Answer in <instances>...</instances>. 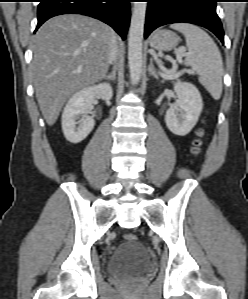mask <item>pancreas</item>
<instances>
[{
	"label": "pancreas",
	"instance_id": "pancreas-1",
	"mask_svg": "<svg viewBox=\"0 0 248 299\" xmlns=\"http://www.w3.org/2000/svg\"><path fill=\"white\" fill-rule=\"evenodd\" d=\"M167 79H171V80H173V79H176V78H167Z\"/></svg>",
	"mask_w": 248,
	"mask_h": 299
}]
</instances>
